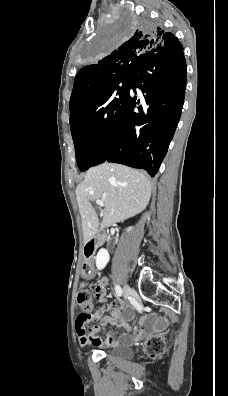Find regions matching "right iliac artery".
<instances>
[{
    "instance_id": "82829eb1",
    "label": "right iliac artery",
    "mask_w": 228,
    "mask_h": 396,
    "mask_svg": "<svg viewBox=\"0 0 228 396\" xmlns=\"http://www.w3.org/2000/svg\"><path fill=\"white\" fill-rule=\"evenodd\" d=\"M115 292H116V295L119 297L122 295V289L119 285L115 286Z\"/></svg>"
}]
</instances>
